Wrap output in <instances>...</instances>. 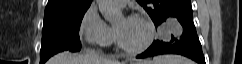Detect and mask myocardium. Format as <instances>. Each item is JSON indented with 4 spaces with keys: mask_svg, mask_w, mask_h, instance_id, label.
<instances>
[{
    "mask_svg": "<svg viewBox=\"0 0 242 64\" xmlns=\"http://www.w3.org/2000/svg\"><path fill=\"white\" fill-rule=\"evenodd\" d=\"M127 18L144 22L148 27V37L142 45L137 46V47H131L124 43L118 29L116 28V37H117V43H118L119 47L122 50H124L125 52L131 53V54H137V53H141V52L147 50L151 46V44L153 43L154 38H155L156 29H155V25H154L153 21L149 17H147L143 14H132V15L128 16Z\"/></svg>",
    "mask_w": 242,
    "mask_h": 64,
    "instance_id": "myocardium-1",
    "label": "myocardium"
}]
</instances>
